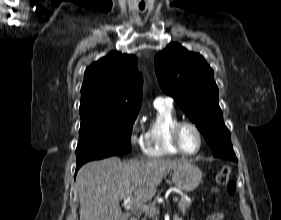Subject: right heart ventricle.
Here are the masks:
<instances>
[{"instance_id": "obj_1", "label": "right heart ventricle", "mask_w": 281, "mask_h": 220, "mask_svg": "<svg viewBox=\"0 0 281 220\" xmlns=\"http://www.w3.org/2000/svg\"><path fill=\"white\" fill-rule=\"evenodd\" d=\"M155 115L145 133L143 152L149 157H166L180 154L171 142V130L179 122L171 104L154 103Z\"/></svg>"}]
</instances>
